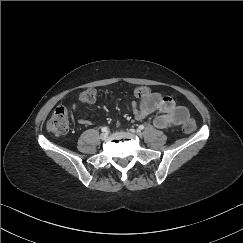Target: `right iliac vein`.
I'll return each instance as SVG.
<instances>
[{"mask_svg":"<svg viewBox=\"0 0 243 243\" xmlns=\"http://www.w3.org/2000/svg\"><path fill=\"white\" fill-rule=\"evenodd\" d=\"M107 137H108L107 133H102V134L100 135V138H101L102 140H106Z\"/></svg>","mask_w":243,"mask_h":243,"instance_id":"63e3f726","label":"right iliac vein"}]
</instances>
